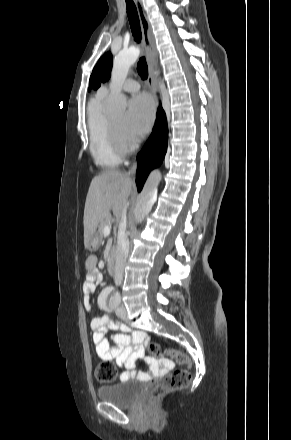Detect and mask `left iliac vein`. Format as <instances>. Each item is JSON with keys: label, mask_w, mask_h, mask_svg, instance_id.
<instances>
[{"label": "left iliac vein", "mask_w": 291, "mask_h": 440, "mask_svg": "<svg viewBox=\"0 0 291 440\" xmlns=\"http://www.w3.org/2000/svg\"><path fill=\"white\" fill-rule=\"evenodd\" d=\"M116 315L122 319L123 321L127 320V312H126V308L124 306H120L119 308L116 309Z\"/></svg>", "instance_id": "left-iliac-vein-1"}]
</instances>
